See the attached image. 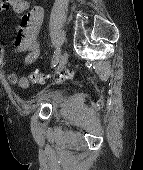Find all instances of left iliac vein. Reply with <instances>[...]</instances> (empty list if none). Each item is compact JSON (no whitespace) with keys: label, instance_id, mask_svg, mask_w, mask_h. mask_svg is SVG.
<instances>
[{"label":"left iliac vein","instance_id":"1","mask_svg":"<svg viewBox=\"0 0 143 170\" xmlns=\"http://www.w3.org/2000/svg\"><path fill=\"white\" fill-rule=\"evenodd\" d=\"M68 57H69V54H68L67 51H65V52L62 54L61 58H60L57 72H60L61 70H63V68H64L65 65L67 64Z\"/></svg>","mask_w":143,"mask_h":170}]
</instances>
